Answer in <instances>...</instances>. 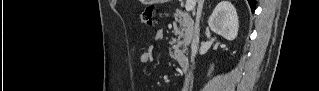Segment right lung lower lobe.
<instances>
[{
  "label": "right lung lower lobe",
  "instance_id": "1",
  "mask_svg": "<svg viewBox=\"0 0 319 91\" xmlns=\"http://www.w3.org/2000/svg\"><path fill=\"white\" fill-rule=\"evenodd\" d=\"M248 2H249V5L251 7L252 12H254L256 9V0H248Z\"/></svg>",
  "mask_w": 319,
  "mask_h": 91
}]
</instances>
